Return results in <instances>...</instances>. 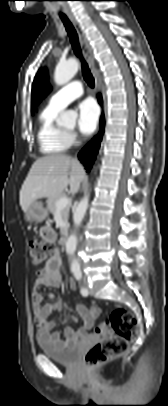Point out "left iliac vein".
<instances>
[{
    "label": "left iliac vein",
    "mask_w": 168,
    "mask_h": 406,
    "mask_svg": "<svg viewBox=\"0 0 168 406\" xmlns=\"http://www.w3.org/2000/svg\"><path fill=\"white\" fill-rule=\"evenodd\" d=\"M84 282H85V284L87 285V283H86V279L84 278Z\"/></svg>",
    "instance_id": "obj_1"
}]
</instances>
